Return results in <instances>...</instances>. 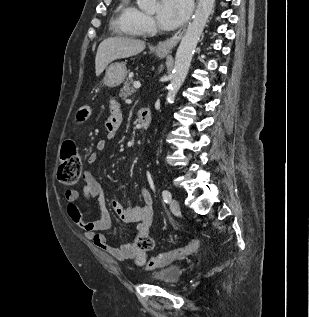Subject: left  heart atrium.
<instances>
[{"instance_id": "obj_1", "label": "left heart atrium", "mask_w": 309, "mask_h": 317, "mask_svg": "<svg viewBox=\"0 0 309 317\" xmlns=\"http://www.w3.org/2000/svg\"><path fill=\"white\" fill-rule=\"evenodd\" d=\"M191 11V0H161L157 19L163 29L178 27Z\"/></svg>"}]
</instances>
